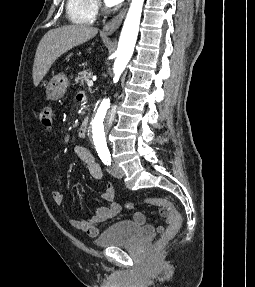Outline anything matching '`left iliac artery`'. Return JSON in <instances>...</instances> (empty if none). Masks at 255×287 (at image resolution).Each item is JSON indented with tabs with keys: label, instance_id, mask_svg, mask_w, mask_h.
I'll return each instance as SVG.
<instances>
[{
	"label": "left iliac artery",
	"instance_id": "left-iliac-artery-1",
	"mask_svg": "<svg viewBox=\"0 0 255 287\" xmlns=\"http://www.w3.org/2000/svg\"><path fill=\"white\" fill-rule=\"evenodd\" d=\"M97 152H98V155L100 157V159L102 160V162L105 164V165H110L111 164V155H110V152L108 150L107 147H98L96 148Z\"/></svg>",
	"mask_w": 255,
	"mask_h": 287
}]
</instances>
